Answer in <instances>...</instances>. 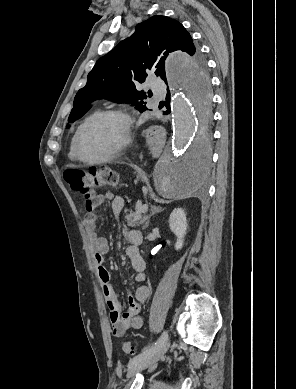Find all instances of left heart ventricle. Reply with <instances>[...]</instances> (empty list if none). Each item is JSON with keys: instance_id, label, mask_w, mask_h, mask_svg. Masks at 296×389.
Here are the masks:
<instances>
[{"instance_id": "left-heart-ventricle-1", "label": "left heart ventricle", "mask_w": 296, "mask_h": 389, "mask_svg": "<svg viewBox=\"0 0 296 389\" xmlns=\"http://www.w3.org/2000/svg\"><path fill=\"white\" fill-rule=\"evenodd\" d=\"M124 137L120 118L105 116L92 122L84 131L81 151L86 158H99L115 148Z\"/></svg>"}]
</instances>
